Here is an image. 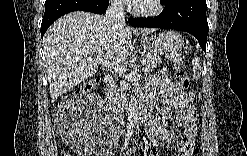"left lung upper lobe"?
Listing matches in <instances>:
<instances>
[{"mask_svg": "<svg viewBox=\"0 0 247 156\" xmlns=\"http://www.w3.org/2000/svg\"><path fill=\"white\" fill-rule=\"evenodd\" d=\"M172 0H164L163 2H164V4L165 3H169V2H171Z\"/></svg>", "mask_w": 247, "mask_h": 156, "instance_id": "5c2ea615", "label": "left lung upper lobe"}]
</instances>
